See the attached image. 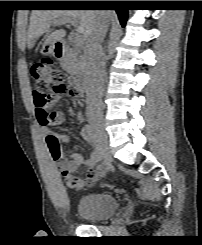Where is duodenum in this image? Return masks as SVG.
I'll return each instance as SVG.
<instances>
[{
  "label": "duodenum",
  "instance_id": "duodenum-1",
  "mask_svg": "<svg viewBox=\"0 0 202 245\" xmlns=\"http://www.w3.org/2000/svg\"><path fill=\"white\" fill-rule=\"evenodd\" d=\"M68 44L65 41H57L53 47V53L56 59H62L66 56ZM75 88L78 93L87 95L91 93V85L86 77H80L75 82Z\"/></svg>",
  "mask_w": 202,
  "mask_h": 245
}]
</instances>
